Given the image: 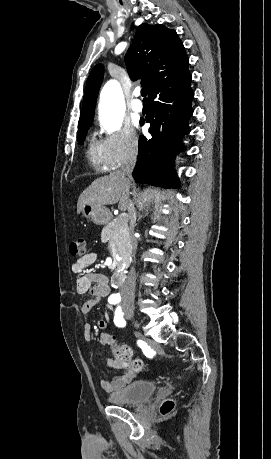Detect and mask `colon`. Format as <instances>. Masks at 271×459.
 Masks as SVG:
<instances>
[{
	"label": "colon",
	"instance_id": "5ec220e1",
	"mask_svg": "<svg viewBox=\"0 0 271 459\" xmlns=\"http://www.w3.org/2000/svg\"><path fill=\"white\" fill-rule=\"evenodd\" d=\"M86 250V242L83 237H78L70 244V253L73 256H82ZM113 354L117 360H119L124 367L129 368L135 372H142L144 369V363L140 359H135L132 356V350L126 345L113 346ZM174 402L172 400H166L162 403L160 411L163 415L170 414L174 409Z\"/></svg>",
	"mask_w": 271,
	"mask_h": 459
}]
</instances>
